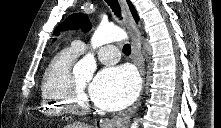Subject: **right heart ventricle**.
<instances>
[{"label":"right heart ventricle","mask_w":221,"mask_h":128,"mask_svg":"<svg viewBox=\"0 0 221 128\" xmlns=\"http://www.w3.org/2000/svg\"><path fill=\"white\" fill-rule=\"evenodd\" d=\"M80 52L72 45L56 53L43 74L40 114L60 117L68 114L69 92L75 79L72 68Z\"/></svg>","instance_id":"e07e8e85"}]
</instances>
